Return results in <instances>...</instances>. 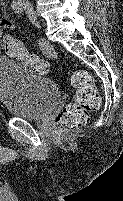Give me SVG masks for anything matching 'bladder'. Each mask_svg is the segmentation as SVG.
Returning a JSON list of instances; mask_svg holds the SVG:
<instances>
[{"label":"bladder","instance_id":"bladder-1","mask_svg":"<svg viewBox=\"0 0 123 201\" xmlns=\"http://www.w3.org/2000/svg\"><path fill=\"white\" fill-rule=\"evenodd\" d=\"M59 99L60 91L55 82L29 73L18 60L0 56V104L13 116L43 120Z\"/></svg>","mask_w":123,"mask_h":201}]
</instances>
